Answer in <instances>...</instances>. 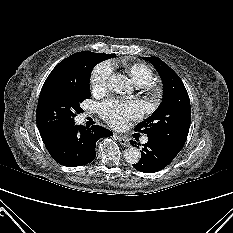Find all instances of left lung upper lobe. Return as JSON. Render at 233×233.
I'll list each match as a JSON object with an SVG mask.
<instances>
[{
  "mask_svg": "<svg viewBox=\"0 0 233 233\" xmlns=\"http://www.w3.org/2000/svg\"><path fill=\"white\" fill-rule=\"evenodd\" d=\"M156 68L163 82V98L157 110L139 123L135 131L179 153L191 122L190 99L181 78L158 57H143Z\"/></svg>",
  "mask_w": 233,
  "mask_h": 233,
  "instance_id": "5c2ea615",
  "label": "left lung upper lobe"
}]
</instances>
